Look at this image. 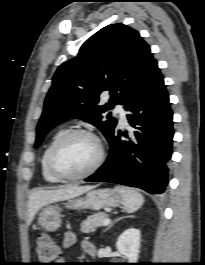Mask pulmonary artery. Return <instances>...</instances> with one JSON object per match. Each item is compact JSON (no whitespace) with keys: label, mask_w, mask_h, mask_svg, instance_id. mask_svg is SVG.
Segmentation results:
<instances>
[{"label":"pulmonary artery","mask_w":205,"mask_h":265,"mask_svg":"<svg viewBox=\"0 0 205 265\" xmlns=\"http://www.w3.org/2000/svg\"><path fill=\"white\" fill-rule=\"evenodd\" d=\"M114 112L119 115L120 122L122 125L127 124V117H126V111L124 107L120 104L116 105L114 108Z\"/></svg>","instance_id":"obj_1"}]
</instances>
